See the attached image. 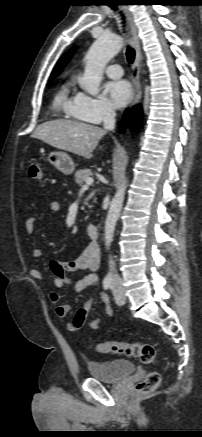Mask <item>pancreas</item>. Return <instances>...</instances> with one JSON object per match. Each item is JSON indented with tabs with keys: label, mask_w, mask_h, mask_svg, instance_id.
I'll list each match as a JSON object with an SVG mask.
<instances>
[{
	"label": "pancreas",
	"mask_w": 202,
	"mask_h": 437,
	"mask_svg": "<svg viewBox=\"0 0 202 437\" xmlns=\"http://www.w3.org/2000/svg\"><path fill=\"white\" fill-rule=\"evenodd\" d=\"M90 176H92L90 169L78 170L75 173V182L80 185Z\"/></svg>",
	"instance_id": "1"
}]
</instances>
